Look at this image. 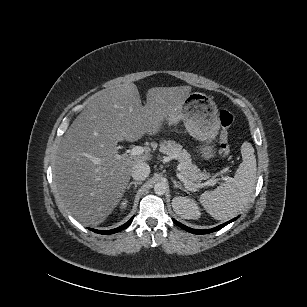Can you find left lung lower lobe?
Wrapping results in <instances>:
<instances>
[{
    "instance_id": "0a47b994",
    "label": "left lung lower lobe",
    "mask_w": 307,
    "mask_h": 307,
    "mask_svg": "<svg viewBox=\"0 0 307 307\" xmlns=\"http://www.w3.org/2000/svg\"><path fill=\"white\" fill-rule=\"evenodd\" d=\"M236 219H237V217L234 218V219H232V220H230V221H228V222H226V223H224V224H222V225H219V226H217V227H215V228L207 229V230L192 229V228H190V227H187V226H185V225H183V224L177 222V221L174 220V219H173V222H174L175 224H177L179 227L183 228L184 230H186V231H188V232H190V233H193V234H208V233H211V232H214V231H217V230L223 228L224 226H226L227 224L233 222V221L236 220Z\"/></svg>"
}]
</instances>
